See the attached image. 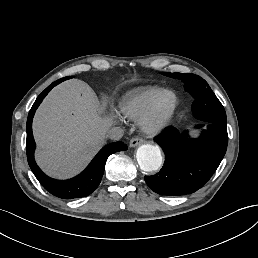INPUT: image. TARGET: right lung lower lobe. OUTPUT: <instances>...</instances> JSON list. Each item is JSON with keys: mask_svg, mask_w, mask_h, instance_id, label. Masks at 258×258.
I'll use <instances>...</instances> for the list:
<instances>
[{"mask_svg": "<svg viewBox=\"0 0 258 258\" xmlns=\"http://www.w3.org/2000/svg\"><path fill=\"white\" fill-rule=\"evenodd\" d=\"M72 78L65 77L59 79L48 86L36 99L34 102L27 119V159L29 166L34 173L37 180L41 185L51 194L62 199H73L81 198L91 194L100 184L104 169L105 163L109 155L118 152L124 151L127 149V146L123 142L111 143L103 147L99 153L94 157L91 163L87 168L80 173L78 176L69 179V180H56L48 177L44 174L41 169L37 166L34 159V150H35V141L32 134V120L35 114L36 109L48 94V92L57 84L62 81Z\"/></svg>", "mask_w": 258, "mask_h": 258, "instance_id": "1", "label": "right lung lower lobe"}]
</instances>
